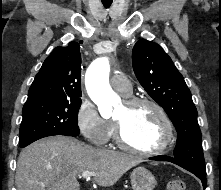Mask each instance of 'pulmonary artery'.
Here are the masks:
<instances>
[{
  "label": "pulmonary artery",
  "instance_id": "e3ab8cb5",
  "mask_svg": "<svg viewBox=\"0 0 221 190\" xmlns=\"http://www.w3.org/2000/svg\"><path fill=\"white\" fill-rule=\"evenodd\" d=\"M111 85L124 96H128L132 93L131 83L128 77L122 73H116L111 77Z\"/></svg>",
  "mask_w": 221,
  "mask_h": 190
}]
</instances>
